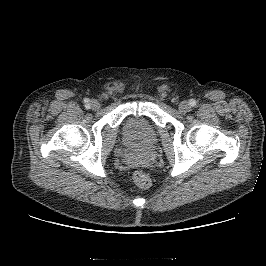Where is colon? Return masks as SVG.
<instances>
[{
    "label": "colon",
    "mask_w": 266,
    "mask_h": 266,
    "mask_svg": "<svg viewBox=\"0 0 266 266\" xmlns=\"http://www.w3.org/2000/svg\"><path fill=\"white\" fill-rule=\"evenodd\" d=\"M132 179L137 187L146 189L150 186L151 180L148 174L143 170H136L132 174Z\"/></svg>",
    "instance_id": "colon-1"
}]
</instances>
